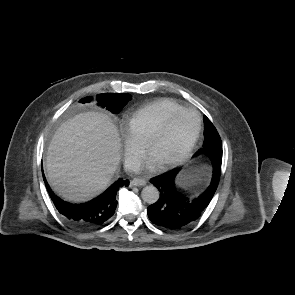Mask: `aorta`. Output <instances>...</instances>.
Instances as JSON below:
<instances>
[{
	"label": "aorta",
	"mask_w": 295,
	"mask_h": 295,
	"mask_svg": "<svg viewBox=\"0 0 295 295\" xmlns=\"http://www.w3.org/2000/svg\"><path fill=\"white\" fill-rule=\"evenodd\" d=\"M141 197L144 202L154 204L159 199V190L153 185L146 186L141 192Z\"/></svg>",
	"instance_id": "obj_1"
}]
</instances>
